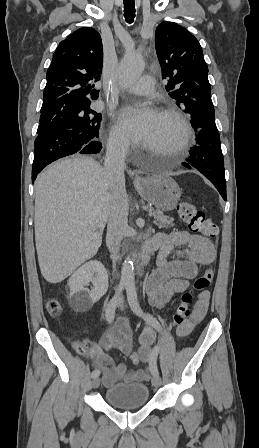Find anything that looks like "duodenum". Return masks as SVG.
<instances>
[{"label": "duodenum", "instance_id": "410a0bca", "mask_svg": "<svg viewBox=\"0 0 259 448\" xmlns=\"http://www.w3.org/2000/svg\"><path fill=\"white\" fill-rule=\"evenodd\" d=\"M156 250H157V245L152 240L148 241L142 249L141 257L138 262V267L141 269L144 268L147 265L151 255Z\"/></svg>", "mask_w": 259, "mask_h": 448}]
</instances>
